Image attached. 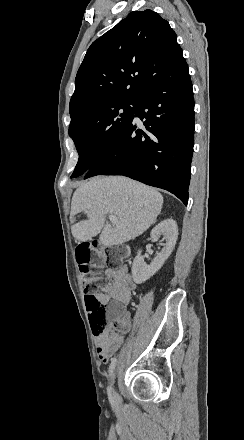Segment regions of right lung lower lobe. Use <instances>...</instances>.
<instances>
[{
	"mask_svg": "<svg viewBox=\"0 0 244 440\" xmlns=\"http://www.w3.org/2000/svg\"><path fill=\"white\" fill-rule=\"evenodd\" d=\"M193 136L194 100L185 62L154 76L128 126L84 178L124 175L165 189L187 205Z\"/></svg>",
	"mask_w": 244,
	"mask_h": 440,
	"instance_id": "obj_1",
	"label": "right lung lower lobe"
}]
</instances>
